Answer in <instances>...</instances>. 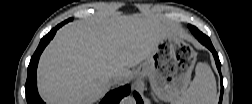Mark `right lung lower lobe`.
Listing matches in <instances>:
<instances>
[{"mask_svg": "<svg viewBox=\"0 0 252 104\" xmlns=\"http://www.w3.org/2000/svg\"><path fill=\"white\" fill-rule=\"evenodd\" d=\"M64 24L65 22H62L61 24L53 28L46 36H44L41 39L40 44L38 48L36 49L34 55L31 57V60L28 66L27 80L25 84L26 99H27L28 104H44V102L40 98L37 91V84H36L37 65H38L39 57L42 51L50 42V40L54 37L57 29L60 28ZM129 93H130L129 85L112 90L104 97V99L101 101L100 104H118L120 100L124 96H127Z\"/></svg>", "mask_w": 252, "mask_h": 104, "instance_id": "98d812e1", "label": "right lung lower lobe"}]
</instances>
